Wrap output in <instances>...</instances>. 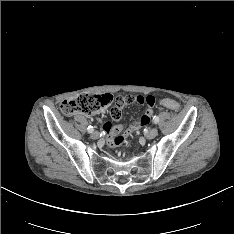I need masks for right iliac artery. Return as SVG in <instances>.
<instances>
[{
  "mask_svg": "<svg viewBox=\"0 0 234 234\" xmlns=\"http://www.w3.org/2000/svg\"><path fill=\"white\" fill-rule=\"evenodd\" d=\"M87 130H88L89 133H92V132L94 131V129H93L92 126H89V127L87 128Z\"/></svg>",
  "mask_w": 234,
  "mask_h": 234,
  "instance_id": "right-iliac-artery-1",
  "label": "right iliac artery"
}]
</instances>
